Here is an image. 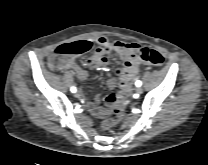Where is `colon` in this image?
<instances>
[{
  "label": "colon",
  "instance_id": "colon-1",
  "mask_svg": "<svg viewBox=\"0 0 208 165\" xmlns=\"http://www.w3.org/2000/svg\"><path fill=\"white\" fill-rule=\"evenodd\" d=\"M91 49V44L87 41H75L70 43H64L55 48L53 54L49 59V66L51 69H58L60 65L73 57L82 55ZM140 59L148 64L154 66H163L165 58L163 55L155 49L141 48L139 50ZM129 91L128 88H122L117 94L118 102L114 108L115 119H106L101 124L102 130H108L113 127L124 116L125 101L124 94Z\"/></svg>",
  "mask_w": 208,
  "mask_h": 165
}]
</instances>
